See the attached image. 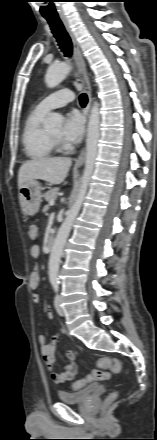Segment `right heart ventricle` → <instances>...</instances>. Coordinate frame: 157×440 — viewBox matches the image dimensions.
<instances>
[{"label": "right heart ventricle", "instance_id": "e07e8e85", "mask_svg": "<svg viewBox=\"0 0 157 440\" xmlns=\"http://www.w3.org/2000/svg\"><path fill=\"white\" fill-rule=\"evenodd\" d=\"M45 116L46 113L36 107L26 117L22 142L26 154L31 158L47 157L54 152L55 145L43 125Z\"/></svg>", "mask_w": 157, "mask_h": 440}]
</instances>
